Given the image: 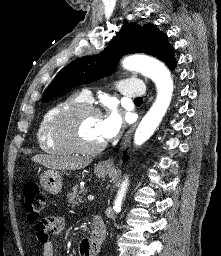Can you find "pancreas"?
Masks as SVG:
<instances>
[{"label": "pancreas", "instance_id": "cf45deb5", "mask_svg": "<svg viewBox=\"0 0 221 256\" xmlns=\"http://www.w3.org/2000/svg\"><path fill=\"white\" fill-rule=\"evenodd\" d=\"M84 194H85L84 188H81V187L79 188V186L76 185L75 187H73L72 192L68 193L67 195L68 202L74 205L82 203L85 201L83 200Z\"/></svg>", "mask_w": 221, "mask_h": 256}]
</instances>
